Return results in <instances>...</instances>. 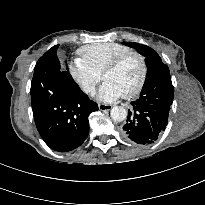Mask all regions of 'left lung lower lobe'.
<instances>
[{"instance_id":"obj_1","label":"left lung lower lobe","mask_w":205,"mask_h":205,"mask_svg":"<svg viewBox=\"0 0 205 205\" xmlns=\"http://www.w3.org/2000/svg\"><path fill=\"white\" fill-rule=\"evenodd\" d=\"M122 136L129 142L139 145L154 143L165 130L170 106L150 104L140 100L131 102Z\"/></svg>"}]
</instances>
